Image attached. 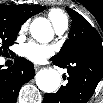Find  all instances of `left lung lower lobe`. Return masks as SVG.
Wrapping results in <instances>:
<instances>
[{
	"mask_svg": "<svg viewBox=\"0 0 103 103\" xmlns=\"http://www.w3.org/2000/svg\"><path fill=\"white\" fill-rule=\"evenodd\" d=\"M88 47V57L75 54L68 60L51 58L54 65L67 68L68 83L56 93L45 94L44 103H86L91 98L103 73L102 40L89 41Z\"/></svg>",
	"mask_w": 103,
	"mask_h": 103,
	"instance_id": "0a47b994",
	"label": "left lung lower lobe"
}]
</instances>
